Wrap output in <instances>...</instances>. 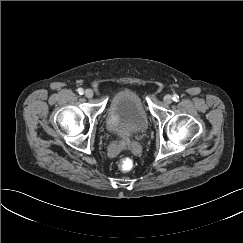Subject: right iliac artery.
<instances>
[{
	"mask_svg": "<svg viewBox=\"0 0 243 243\" xmlns=\"http://www.w3.org/2000/svg\"><path fill=\"white\" fill-rule=\"evenodd\" d=\"M77 91H78L79 94H83V89L82 88H79Z\"/></svg>",
	"mask_w": 243,
	"mask_h": 243,
	"instance_id": "obj_1",
	"label": "right iliac artery"
}]
</instances>
